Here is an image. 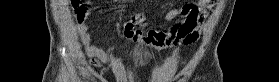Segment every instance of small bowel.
Returning a JSON list of instances; mask_svg holds the SVG:
<instances>
[{"mask_svg": "<svg viewBox=\"0 0 279 82\" xmlns=\"http://www.w3.org/2000/svg\"><path fill=\"white\" fill-rule=\"evenodd\" d=\"M75 11V21L81 43L85 53L102 63L113 64L118 58L111 52L91 45V38L86 23L88 12L79 2L69 1ZM214 4L207 1L188 2L185 5L171 9L166 20L171 23L168 29H147L143 19H140L139 29H135L130 22L122 25L124 37L128 40L140 42L151 46L154 50H161L177 45L193 43L202 29ZM179 16L185 17L183 23L175 21Z\"/></svg>", "mask_w": 279, "mask_h": 82, "instance_id": "c3829d8e", "label": "small bowel"}]
</instances>
